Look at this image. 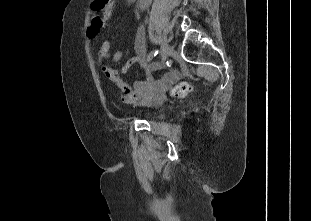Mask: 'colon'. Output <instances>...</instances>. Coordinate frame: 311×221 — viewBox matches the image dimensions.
<instances>
[{
	"instance_id": "1",
	"label": "colon",
	"mask_w": 311,
	"mask_h": 221,
	"mask_svg": "<svg viewBox=\"0 0 311 221\" xmlns=\"http://www.w3.org/2000/svg\"><path fill=\"white\" fill-rule=\"evenodd\" d=\"M113 0H95L93 1L90 7V17H93V22L96 25H89L88 31L89 38L95 39L96 33L101 32L102 27L106 26L107 22V13L109 11L110 5L112 4ZM104 17V18H103ZM192 91V85L188 81H182L174 86L171 91V95L174 98H182L185 97L189 92Z\"/></svg>"
}]
</instances>
